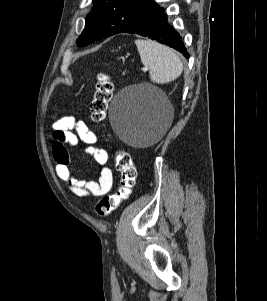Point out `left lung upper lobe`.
Instances as JSON below:
<instances>
[{
	"label": "left lung upper lobe",
	"mask_w": 267,
	"mask_h": 301,
	"mask_svg": "<svg viewBox=\"0 0 267 301\" xmlns=\"http://www.w3.org/2000/svg\"><path fill=\"white\" fill-rule=\"evenodd\" d=\"M92 13L86 18V28L78 38L79 45L119 33L125 27L146 17L158 5L152 0H92Z\"/></svg>",
	"instance_id": "1"
}]
</instances>
